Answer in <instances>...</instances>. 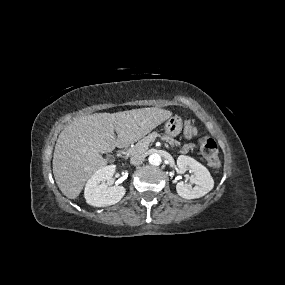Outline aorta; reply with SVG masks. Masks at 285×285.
<instances>
[{
    "mask_svg": "<svg viewBox=\"0 0 285 285\" xmlns=\"http://www.w3.org/2000/svg\"><path fill=\"white\" fill-rule=\"evenodd\" d=\"M148 161L151 165L158 166L161 164V156L157 153H153L149 156Z\"/></svg>",
    "mask_w": 285,
    "mask_h": 285,
    "instance_id": "762f6f07",
    "label": "aorta"
}]
</instances>
